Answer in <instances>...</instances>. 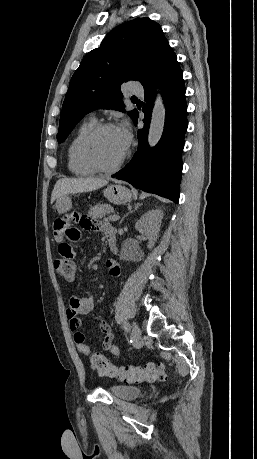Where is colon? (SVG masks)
Returning a JSON list of instances; mask_svg holds the SVG:
<instances>
[{"label":"colon","instance_id":"colon-1","mask_svg":"<svg viewBox=\"0 0 257 459\" xmlns=\"http://www.w3.org/2000/svg\"><path fill=\"white\" fill-rule=\"evenodd\" d=\"M54 267L56 273L68 281H73L77 276L75 261H64V258H60L55 261ZM90 360L92 367L103 376L129 382H155L165 378L163 363H148L143 367H117L99 352H93Z\"/></svg>","mask_w":257,"mask_h":459}]
</instances>
